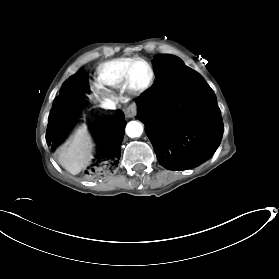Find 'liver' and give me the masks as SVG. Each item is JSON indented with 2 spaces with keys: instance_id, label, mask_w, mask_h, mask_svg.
Here are the masks:
<instances>
[{
  "instance_id": "1",
  "label": "liver",
  "mask_w": 279,
  "mask_h": 279,
  "mask_svg": "<svg viewBox=\"0 0 279 279\" xmlns=\"http://www.w3.org/2000/svg\"><path fill=\"white\" fill-rule=\"evenodd\" d=\"M113 98V97H112ZM117 100L116 98H113ZM120 101L123 98H119ZM93 143L87 126L78 127L75 133L57 150L58 162L72 175L80 173L92 159Z\"/></svg>"
}]
</instances>
